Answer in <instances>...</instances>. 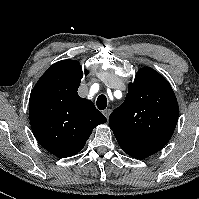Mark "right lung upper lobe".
I'll use <instances>...</instances> for the list:
<instances>
[{"label": "right lung upper lobe", "instance_id": "obj_1", "mask_svg": "<svg viewBox=\"0 0 199 199\" xmlns=\"http://www.w3.org/2000/svg\"><path fill=\"white\" fill-rule=\"evenodd\" d=\"M82 77L78 61L56 62L41 76L30 95L33 134L44 149L58 157L78 153L92 130L107 122L91 101L78 95Z\"/></svg>", "mask_w": 199, "mask_h": 199}]
</instances>
